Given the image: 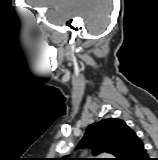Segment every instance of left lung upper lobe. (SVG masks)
I'll use <instances>...</instances> for the list:
<instances>
[{
	"instance_id": "5c2ea615",
	"label": "left lung upper lobe",
	"mask_w": 158,
	"mask_h": 160,
	"mask_svg": "<svg viewBox=\"0 0 158 160\" xmlns=\"http://www.w3.org/2000/svg\"><path fill=\"white\" fill-rule=\"evenodd\" d=\"M134 131L117 118L103 119L88 126L84 137L77 145L79 148H91L94 155L111 153L121 160ZM60 160H101L99 158H60Z\"/></svg>"
}]
</instances>
